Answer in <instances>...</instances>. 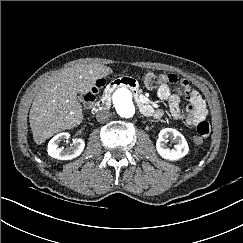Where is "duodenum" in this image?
<instances>
[{"label":"duodenum","instance_id":"410a0bca","mask_svg":"<svg viewBox=\"0 0 243 243\" xmlns=\"http://www.w3.org/2000/svg\"><path fill=\"white\" fill-rule=\"evenodd\" d=\"M116 87L129 88L133 93L134 99L137 102L141 113L145 116H154L155 110L146 102L143 96L139 94L134 81L129 78H122L111 83L101 99L93 105L92 111L94 113H98L111 105V92Z\"/></svg>","mask_w":243,"mask_h":243}]
</instances>
